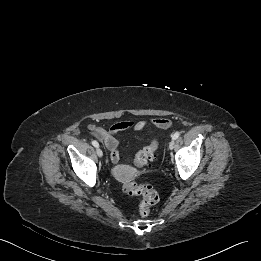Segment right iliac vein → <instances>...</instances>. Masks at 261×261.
I'll return each mask as SVG.
<instances>
[{
  "label": "right iliac vein",
  "mask_w": 261,
  "mask_h": 261,
  "mask_svg": "<svg viewBox=\"0 0 261 261\" xmlns=\"http://www.w3.org/2000/svg\"><path fill=\"white\" fill-rule=\"evenodd\" d=\"M97 155H98L99 157H102V156H103V152H102L101 148H97Z\"/></svg>",
  "instance_id": "right-iliac-vein-1"
}]
</instances>
